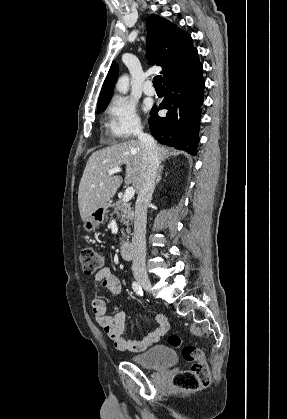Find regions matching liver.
Here are the masks:
<instances>
[{"instance_id": "1", "label": "liver", "mask_w": 287, "mask_h": 419, "mask_svg": "<svg viewBox=\"0 0 287 419\" xmlns=\"http://www.w3.org/2000/svg\"><path fill=\"white\" fill-rule=\"evenodd\" d=\"M159 160L176 155V151L156 144ZM143 150L139 140H129L94 152L88 159L78 191V207L85 221L96 209L105 207L122 184L121 176L109 175L110 169L126 166L124 182L136 192L142 182Z\"/></svg>"}]
</instances>
